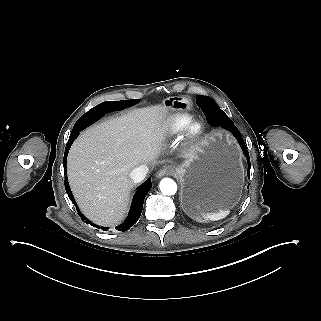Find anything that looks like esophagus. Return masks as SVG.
Wrapping results in <instances>:
<instances>
[{
	"label": "esophagus",
	"instance_id": "1",
	"mask_svg": "<svg viewBox=\"0 0 321 321\" xmlns=\"http://www.w3.org/2000/svg\"><path fill=\"white\" fill-rule=\"evenodd\" d=\"M173 172H174V170H173L172 166H165L164 168L157 171L156 177L160 178V177L164 176L165 174H173Z\"/></svg>",
	"mask_w": 321,
	"mask_h": 321
}]
</instances>
